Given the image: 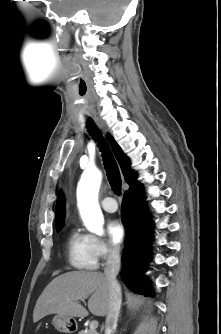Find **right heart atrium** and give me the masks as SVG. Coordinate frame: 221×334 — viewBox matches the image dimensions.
I'll return each mask as SVG.
<instances>
[{"label": "right heart atrium", "mask_w": 221, "mask_h": 334, "mask_svg": "<svg viewBox=\"0 0 221 334\" xmlns=\"http://www.w3.org/2000/svg\"><path fill=\"white\" fill-rule=\"evenodd\" d=\"M92 244L97 259L100 261H107L118 254L117 248L102 238L92 236Z\"/></svg>", "instance_id": "right-heart-atrium-1"}]
</instances>
